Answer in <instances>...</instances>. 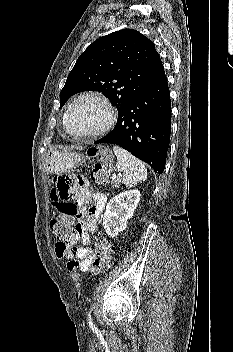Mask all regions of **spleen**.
I'll return each instance as SVG.
<instances>
[{
    "label": "spleen",
    "mask_w": 233,
    "mask_h": 352,
    "mask_svg": "<svg viewBox=\"0 0 233 352\" xmlns=\"http://www.w3.org/2000/svg\"><path fill=\"white\" fill-rule=\"evenodd\" d=\"M113 151L117 156V168L123 172V183L126 186L134 187L139 181L147 179V169L139 159L119 146H114Z\"/></svg>",
    "instance_id": "spleen-1"
}]
</instances>
